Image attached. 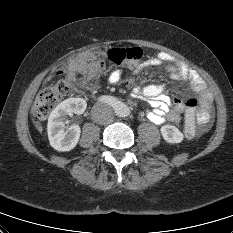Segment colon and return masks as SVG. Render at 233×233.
<instances>
[{"mask_svg": "<svg viewBox=\"0 0 233 233\" xmlns=\"http://www.w3.org/2000/svg\"><path fill=\"white\" fill-rule=\"evenodd\" d=\"M142 54V49L139 47H123L110 49L106 57L110 62L116 65L133 66L140 61ZM104 71V59L95 58L88 67V78L92 80L98 79ZM64 75L65 71H59L56 75L59 79L52 85L43 88L38 93L33 107L37 117L44 118L61 98L69 96L75 91V87ZM198 103V99L193 97L187 99L185 102L184 134L187 138H193L197 134L194 121Z\"/></svg>", "mask_w": 233, "mask_h": 233, "instance_id": "1", "label": "colon"}]
</instances>
